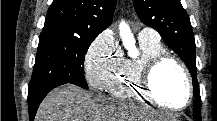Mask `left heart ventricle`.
Returning a JSON list of instances; mask_svg holds the SVG:
<instances>
[{
    "label": "left heart ventricle",
    "instance_id": "left-heart-ventricle-1",
    "mask_svg": "<svg viewBox=\"0 0 217 121\" xmlns=\"http://www.w3.org/2000/svg\"><path fill=\"white\" fill-rule=\"evenodd\" d=\"M156 95L166 104L181 106L188 94L186 79L181 70L172 63L160 67L152 78Z\"/></svg>",
    "mask_w": 217,
    "mask_h": 121
}]
</instances>
